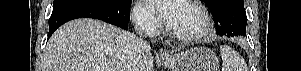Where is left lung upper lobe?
<instances>
[{"label":"left lung upper lobe","instance_id":"left-lung-upper-lobe-1","mask_svg":"<svg viewBox=\"0 0 301 71\" xmlns=\"http://www.w3.org/2000/svg\"><path fill=\"white\" fill-rule=\"evenodd\" d=\"M209 8L212 16L217 14L219 10L226 5H239L244 7L243 0H202Z\"/></svg>","mask_w":301,"mask_h":71}]
</instances>
